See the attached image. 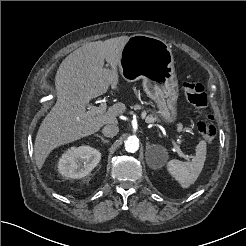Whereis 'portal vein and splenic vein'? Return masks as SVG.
<instances>
[{"instance_id": "obj_1", "label": "portal vein and splenic vein", "mask_w": 246, "mask_h": 246, "mask_svg": "<svg viewBox=\"0 0 246 246\" xmlns=\"http://www.w3.org/2000/svg\"><path fill=\"white\" fill-rule=\"evenodd\" d=\"M88 109H89V113H91L93 115L104 114L106 112V109H107V104H106L105 101H101V103H100V105L98 107L90 105L88 107ZM173 145H174L175 151L178 153V155L180 157H183V158H188L189 157L188 155H185L181 151L180 147L175 142L173 143Z\"/></svg>"}]
</instances>
